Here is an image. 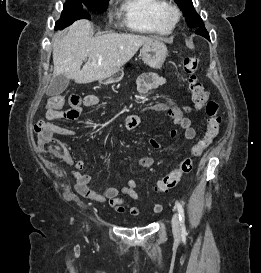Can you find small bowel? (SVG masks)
Returning a JSON list of instances; mask_svg holds the SVG:
<instances>
[{"instance_id":"c3829d8e","label":"small bowel","mask_w":261,"mask_h":273,"mask_svg":"<svg viewBox=\"0 0 261 273\" xmlns=\"http://www.w3.org/2000/svg\"><path fill=\"white\" fill-rule=\"evenodd\" d=\"M165 82L166 81L163 77L155 73H146L139 78L138 88L141 93L146 94L151 90L165 84ZM83 104L86 107H95L99 104V99L94 95H87L84 98ZM151 108L155 111L163 112L172 119L175 129H173L170 133L171 138L176 136V128L183 130L186 140L191 141L196 137V131L192 126L191 120L186 116V114L189 112L188 108L180 107L170 100L158 102ZM46 118L49 120L46 122L48 129L52 133L63 136L75 135L73 130L50 122L52 120L66 119L64 117V111L49 108L46 112ZM123 122L126 129L132 130L138 126L140 119L137 115H126ZM148 142L154 149H161L163 147L154 138H149ZM62 157L68 165L73 166L76 169V171H73V177L75 179V188L80 195L91 201L107 202L112 209L120 213L124 212L126 207L129 208L132 215H139L141 213V210L137 206L129 205L123 198V195H127L134 200H140V196L136 191L137 183L134 179L128 180L127 184L121 188L105 187L103 193L101 194L95 189L89 187L91 176L80 172L85 166L84 161L82 159L75 160L70 150L65 145H62ZM137 163L140 167L150 170L153 167L154 161L150 157L143 156L137 159ZM152 210L155 213H159L162 211V206L160 204H154L152 206Z\"/></svg>"}]
</instances>
